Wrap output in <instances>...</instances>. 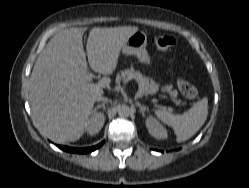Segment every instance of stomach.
<instances>
[{
  "label": "stomach",
  "mask_w": 249,
  "mask_h": 188,
  "mask_svg": "<svg viewBox=\"0 0 249 188\" xmlns=\"http://www.w3.org/2000/svg\"><path fill=\"white\" fill-rule=\"evenodd\" d=\"M147 35L143 31L131 35L122 47V53L126 56H135L139 62L150 64L151 58L146 50Z\"/></svg>",
  "instance_id": "obj_1"
}]
</instances>
